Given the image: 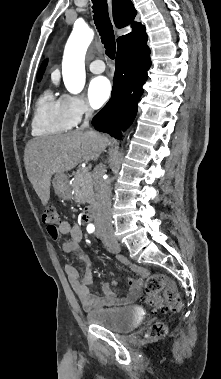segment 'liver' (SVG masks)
<instances>
[{
  "instance_id": "1",
  "label": "liver",
  "mask_w": 221,
  "mask_h": 379,
  "mask_svg": "<svg viewBox=\"0 0 221 379\" xmlns=\"http://www.w3.org/2000/svg\"><path fill=\"white\" fill-rule=\"evenodd\" d=\"M108 142L104 135L82 130L30 140L25 147L24 163L27 176L43 206L50 199L53 174L70 171L81 161L97 160Z\"/></svg>"
}]
</instances>
